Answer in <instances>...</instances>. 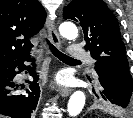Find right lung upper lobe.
<instances>
[{"mask_svg":"<svg viewBox=\"0 0 133 118\" xmlns=\"http://www.w3.org/2000/svg\"><path fill=\"white\" fill-rule=\"evenodd\" d=\"M46 13L37 0H0V68L30 55Z\"/></svg>","mask_w":133,"mask_h":118,"instance_id":"right-lung-upper-lobe-1","label":"right lung upper lobe"}]
</instances>
